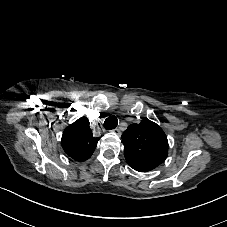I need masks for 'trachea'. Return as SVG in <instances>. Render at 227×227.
<instances>
[{"label": "trachea", "instance_id": "3493384b", "mask_svg": "<svg viewBox=\"0 0 227 227\" xmlns=\"http://www.w3.org/2000/svg\"><path fill=\"white\" fill-rule=\"evenodd\" d=\"M117 125H118V120L116 116H110L104 122V127L106 130L115 129Z\"/></svg>", "mask_w": 227, "mask_h": 227}]
</instances>
